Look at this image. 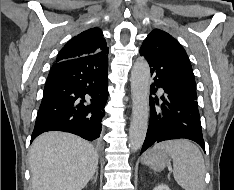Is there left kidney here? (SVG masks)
<instances>
[{"label": "left kidney", "mask_w": 234, "mask_h": 190, "mask_svg": "<svg viewBox=\"0 0 234 190\" xmlns=\"http://www.w3.org/2000/svg\"><path fill=\"white\" fill-rule=\"evenodd\" d=\"M153 190H170V188L165 184H160L156 186Z\"/></svg>", "instance_id": "5707ae66"}]
</instances>
